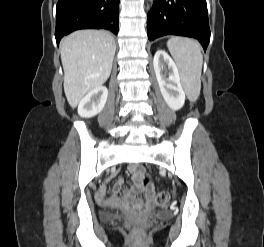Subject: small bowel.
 I'll use <instances>...</instances> for the list:
<instances>
[{
	"label": "small bowel",
	"mask_w": 264,
	"mask_h": 247,
	"mask_svg": "<svg viewBox=\"0 0 264 247\" xmlns=\"http://www.w3.org/2000/svg\"><path fill=\"white\" fill-rule=\"evenodd\" d=\"M133 185L126 191L121 192L122 180H118L114 185L109 199L104 196L103 191L97 193V199L100 202H111L113 204L122 205L125 204L129 199H135V197L143 193L146 200H150L154 193V187L149 186L142 188L140 181L143 177V169L140 165H133L129 169Z\"/></svg>",
	"instance_id": "1"
}]
</instances>
